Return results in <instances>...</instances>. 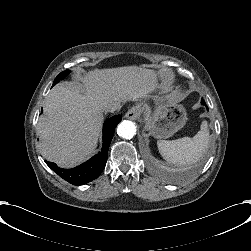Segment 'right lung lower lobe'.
Masks as SVG:
<instances>
[{
	"instance_id": "right-lung-lower-lobe-1",
	"label": "right lung lower lobe",
	"mask_w": 251,
	"mask_h": 251,
	"mask_svg": "<svg viewBox=\"0 0 251 251\" xmlns=\"http://www.w3.org/2000/svg\"><path fill=\"white\" fill-rule=\"evenodd\" d=\"M121 115H116L104 122L103 125V147L101 151L87 162L72 168L62 169L55 163L45 161L46 164L60 177L73 185H83L96 179L104 170L108 149L114 135L115 127L121 121Z\"/></svg>"
}]
</instances>
